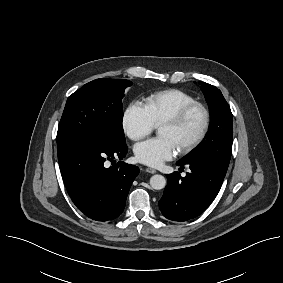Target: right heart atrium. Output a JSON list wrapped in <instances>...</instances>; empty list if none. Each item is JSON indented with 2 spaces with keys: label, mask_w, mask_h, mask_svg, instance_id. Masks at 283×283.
<instances>
[{
  "label": "right heart atrium",
  "mask_w": 283,
  "mask_h": 283,
  "mask_svg": "<svg viewBox=\"0 0 283 283\" xmlns=\"http://www.w3.org/2000/svg\"><path fill=\"white\" fill-rule=\"evenodd\" d=\"M122 127L125 134L131 140L136 141L150 134L155 124L145 105L138 100H134L128 104L123 113Z\"/></svg>",
  "instance_id": "d8ad5b80"
}]
</instances>
